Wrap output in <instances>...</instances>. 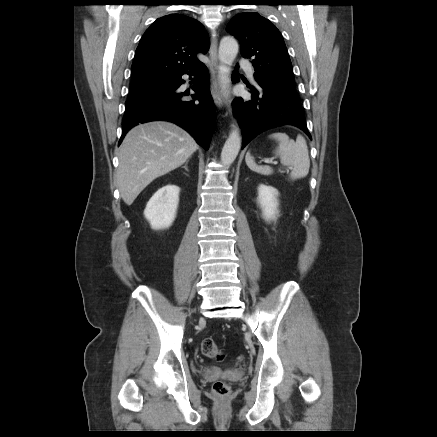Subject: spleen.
Listing matches in <instances>:
<instances>
[{
  "label": "spleen",
  "instance_id": "1",
  "mask_svg": "<svg viewBox=\"0 0 437 437\" xmlns=\"http://www.w3.org/2000/svg\"><path fill=\"white\" fill-rule=\"evenodd\" d=\"M269 137L278 142L275 155L280 158L281 164L291 167L290 179L297 180L307 176L310 168V158L305 138L298 135L296 141H294L286 133L282 132L273 133ZM245 161L248 168L254 172L262 175L273 173V169L270 166L257 165L249 152L246 154Z\"/></svg>",
  "mask_w": 437,
  "mask_h": 437
}]
</instances>
